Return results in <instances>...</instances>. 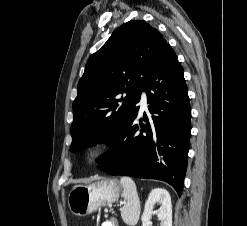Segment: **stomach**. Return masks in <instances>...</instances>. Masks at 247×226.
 <instances>
[{
    "instance_id": "obj_1",
    "label": "stomach",
    "mask_w": 247,
    "mask_h": 226,
    "mask_svg": "<svg viewBox=\"0 0 247 226\" xmlns=\"http://www.w3.org/2000/svg\"><path fill=\"white\" fill-rule=\"evenodd\" d=\"M121 192L122 187L115 179H100L89 185H77L69 193L68 206L74 215L86 216L117 201Z\"/></svg>"
}]
</instances>
